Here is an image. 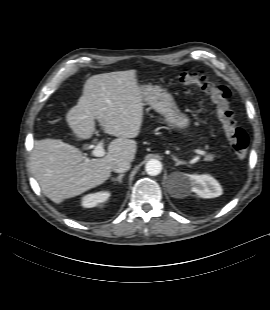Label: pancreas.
I'll list each match as a JSON object with an SVG mask.
<instances>
[{
  "label": "pancreas",
  "mask_w": 270,
  "mask_h": 310,
  "mask_svg": "<svg viewBox=\"0 0 270 310\" xmlns=\"http://www.w3.org/2000/svg\"><path fill=\"white\" fill-rule=\"evenodd\" d=\"M213 158H214L213 155H208V156H207V160H212Z\"/></svg>",
  "instance_id": "cf45deb5"
}]
</instances>
